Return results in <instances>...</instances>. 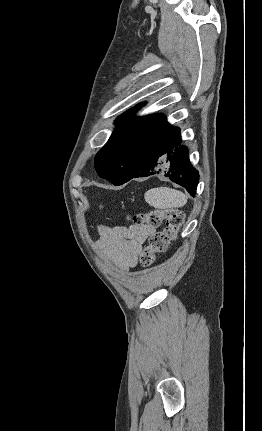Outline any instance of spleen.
I'll return each instance as SVG.
<instances>
[{
  "label": "spleen",
  "instance_id": "3e777b00",
  "mask_svg": "<svg viewBox=\"0 0 262 431\" xmlns=\"http://www.w3.org/2000/svg\"><path fill=\"white\" fill-rule=\"evenodd\" d=\"M145 201L158 209H169L183 207L187 203V196L176 189L168 187H157L148 190Z\"/></svg>",
  "mask_w": 262,
  "mask_h": 431
}]
</instances>
